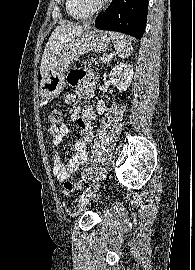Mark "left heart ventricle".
Wrapping results in <instances>:
<instances>
[{"label": "left heart ventricle", "instance_id": "obj_1", "mask_svg": "<svg viewBox=\"0 0 195 270\" xmlns=\"http://www.w3.org/2000/svg\"><path fill=\"white\" fill-rule=\"evenodd\" d=\"M100 0H90L91 3L99 2Z\"/></svg>", "mask_w": 195, "mask_h": 270}]
</instances>
